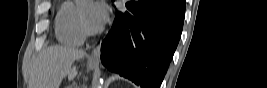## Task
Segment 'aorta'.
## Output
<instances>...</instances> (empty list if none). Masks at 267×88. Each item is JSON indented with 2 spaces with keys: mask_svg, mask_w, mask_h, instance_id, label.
<instances>
[{
  "mask_svg": "<svg viewBox=\"0 0 267 88\" xmlns=\"http://www.w3.org/2000/svg\"><path fill=\"white\" fill-rule=\"evenodd\" d=\"M80 0H76V2H78ZM103 85V79H100L99 82L96 84V88H101Z\"/></svg>",
  "mask_w": 267,
  "mask_h": 88,
  "instance_id": "762f6f07",
  "label": "aorta"
}]
</instances>
